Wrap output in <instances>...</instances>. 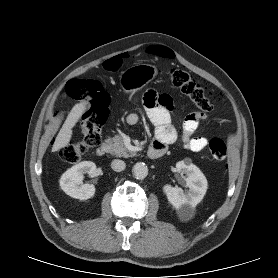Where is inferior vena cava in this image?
Masks as SVG:
<instances>
[{"mask_svg":"<svg viewBox=\"0 0 278 278\" xmlns=\"http://www.w3.org/2000/svg\"><path fill=\"white\" fill-rule=\"evenodd\" d=\"M111 168H112L114 171L120 172V171H123V170L126 168V164H125V162L122 161V160L115 159V160H113L112 163H111Z\"/></svg>","mask_w":278,"mask_h":278,"instance_id":"602c4592","label":"inferior vena cava"}]
</instances>
